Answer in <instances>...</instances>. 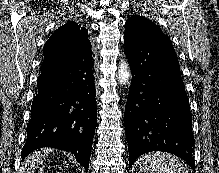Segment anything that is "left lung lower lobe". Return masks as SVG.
I'll use <instances>...</instances> for the list:
<instances>
[{
    "mask_svg": "<svg viewBox=\"0 0 219 173\" xmlns=\"http://www.w3.org/2000/svg\"><path fill=\"white\" fill-rule=\"evenodd\" d=\"M124 42L133 73L125 106L129 166L144 153L165 151L195 170L189 98L172 44Z\"/></svg>",
    "mask_w": 219,
    "mask_h": 173,
    "instance_id": "1",
    "label": "left lung lower lobe"
}]
</instances>
